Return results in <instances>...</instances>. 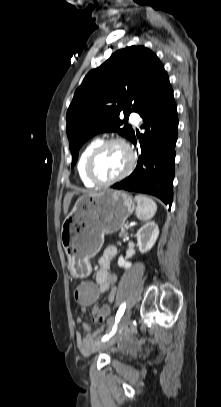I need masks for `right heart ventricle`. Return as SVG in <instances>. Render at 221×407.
Segmentation results:
<instances>
[{
	"label": "right heart ventricle",
	"instance_id": "e07e8e85",
	"mask_svg": "<svg viewBox=\"0 0 221 407\" xmlns=\"http://www.w3.org/2000/svg\"><path fill=\"white\" fill-rule=\"evenodd\" d=\"M101 141L99 139H95L88 143L82 152L79 155L78 161H77V173L79 176V179L81 182L86 186V187H93L95 184H93L86 176L85 174V163L87 160V157L89 154L92 152V150L100 144Z\"/></svg>",
	"mask_w": 221,
	"mask_h": 407
}]
</instances>
